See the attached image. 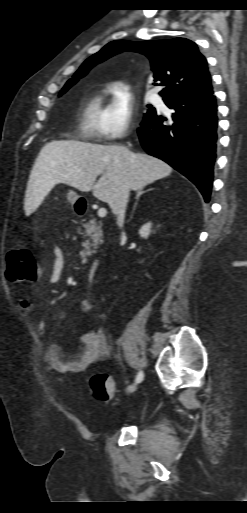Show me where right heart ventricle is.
Masks as SVG:
<instances>
[{"mask_svg":"<svg viewBox=\"0 0 247 513\" xmlns=\"http://www.w3.org/2000/svg\"><path fill=\"white\" fill-rule=\"evenodd\" d=\"M106 107L102 103V92L97 91L87 97L79 111L78 130L81 136L96 138L100 136L102 118Z\"/></svg>","mask_w":247,"mask_h":513,"instance_id":"1","label":"right heart ventricle"}]
</instances>
